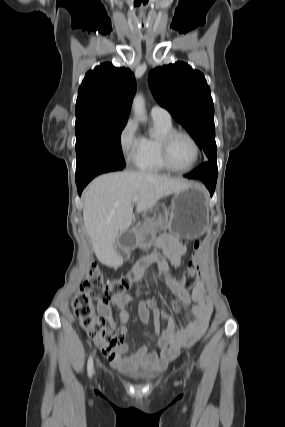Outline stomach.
Here are the masks:
<instances>
[{"instance_id": "obj_1", "label": "stomach", "mask_w": 285, "mask_h": 427, "mask_svg": "<svg viewBox=\"0 0 285 427\" xmlns=\"http://www.w3.org/2000/svg\"><path fill=\"white\" fill-rule=\"evenodd\" d=\"M209 201L205 188L197 183L176 192L168 209L156 204L145 211L147 227L142 232L133 233L130 246L150 247L159 228L168 229L181 238L200 237L209 226Z\"/></svg>"}]
</instances>
